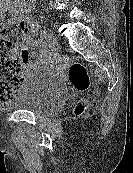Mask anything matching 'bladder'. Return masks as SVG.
<instances>
[{"mask_svg":"<svg viewBox=\"0 0 133 173\" xmlns=\"http://www.w3.org/2000/svg\"><path fill=\"white\" fill-rule=\"evenodd\" d=\"M67 92L59 73L48 66H38L26 73L12 107L39 116H53L63 107Z\"/></svg>","mask_w":133,"mask_h":173,"instance_id":"obj_1","label":"bladder"}]
</instances>
